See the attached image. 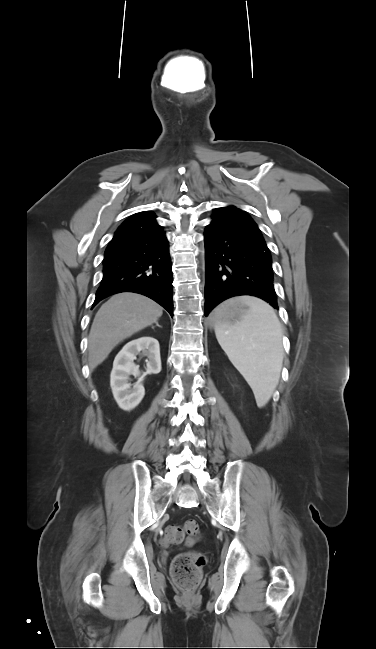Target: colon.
Segmentation results:
<instances>
[{"instance_id":"colon-1","label":"colon","mask_w":376,"mask_h":649,"mask_svg":"<svg viewBox=\"0 0 376 649\" xmlns=\"http://www.w3.org/2000/svg\"><path fill=\"white\" fill-rule=\"evenodd\" d=\"M199 532L195 520H187L182 525H171L165 530L163 543L167 546L181 544L185 538L194 537ZM206 557L199 552H185L177 555L171 564V576L175 584L185 591H192L199 583Z\"/></svg>"}]
</instances>
